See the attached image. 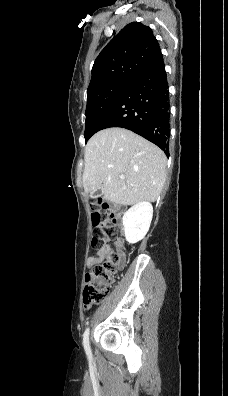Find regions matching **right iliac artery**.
I'll return each mask as SVG.
<instances>
[{"label": "right iliac artery", "mask_w": 228, "mask_h": 396, "mask_svg": "<svg viewBox=\"0 0 228 396\" xmlns=\"http://www.w3.org/2000/svg\"><path fill=\"white\" fill-rule=\"evenodd\" d=\"M83 345H84V349H85V352H86L88 358H91L92 353H91L90 344H89V328H87L83 334Z\"/></svg>", "instance_id": "right-iliac-artery-1"}]
</instances>
